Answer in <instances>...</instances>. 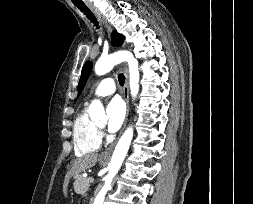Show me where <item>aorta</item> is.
<instances>
[{"mask_svg":"<svg viewBox=\"0 0 253 204\" xmlns=\"http://www.w3.org/2000/svg\"><path fill=\"white\" fill-rule=\"evenodd\" d=\"M123 61H126L128 63L131 95L135 97L139 90L140 75L138 70V61L131 52L118 51L105 57H101L95 65V72L97 75H104L109 71H111V69L116 64H119ZM88 112L92 120H101V121L107 120L104 107L99 100H94L90 104ZM132 137H133V129L132 127H129L123 133V135L121 136L115 147V150L111 158V163L109 166V172L105 177L104 186L96 196L94 204L104 203L105 195L107 191L111 188L112 180L122 165V162L129 149Z\"/></svg>","mask_w":253,"mask_h":204,"instance_id":"1","label":"aorta"}]
</instances>
